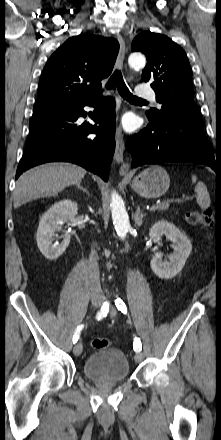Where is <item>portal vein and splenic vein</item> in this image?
Segmentation results:
<instances>
[{
  "label": "portal vein and splenic vein",
  "mask_w": 221,
  "mask_h": 440,
  "mask_svg": "<svg viewBox=\"0 0 221 440\" xmlns=\"http://www.w3.org/2000/svg\"><path fill=\"white\" fill-rule=\"evenodd\" d=\"M156 207H157V205H153V206L150 208V211H155V210H156Z\"/></svg>",
  "instance_id": "18ae733b"
}]
</instances>
